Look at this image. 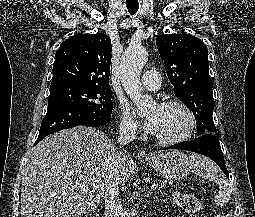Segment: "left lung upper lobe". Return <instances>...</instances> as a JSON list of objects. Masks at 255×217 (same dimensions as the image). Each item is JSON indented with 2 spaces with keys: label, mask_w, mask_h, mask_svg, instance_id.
<instances>
[{
  "label": "left lung upper lobe",
  "mask_w": 255,
  "mask_h": 217,
  "mask_svg": "<svg viewBox=\"0 0 255 217\" xmlns=\"http://www.w3.org/2000/svg\"><path fill=\"white\" fill-rule=\"evenodd\" d=\"M156 45L175 95L194 113L198 136L204 133L216 134L206 45L199 38L186 33L159 35Z\"/></svg>",
  "instance_id": "obj_1"
}]
</instances>
